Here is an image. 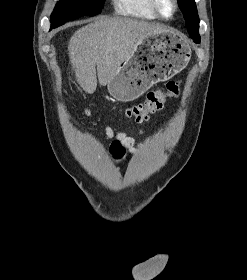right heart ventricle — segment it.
<instances>
[{
  "label": "right heart ventricle",
  "mask_w": 247,
  "mask_h": 280,
  "mask_svg": "<svg viewBox=\"0 0 247 280\" xmlns=\"http://www.w3.org/2000/svg\"><path fill=\"white\" fill-rule=\"evenodd\" d=\"M115 11L119 15L130 16L145 20H156L152 0H113Z\"/></svg>",
  "instance_id": "right-heart-ventricle-1"
}]
</instances>
